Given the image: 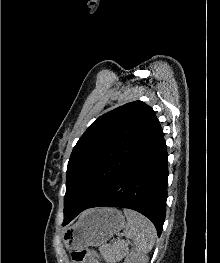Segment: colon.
<instances>
[{
	"label": "colon",
	"mask_w": 220,
	"mask_h": 263,
	"mask_svg": "<svg viewBox=\"0 0 220 263\" xmlns=\"http://www.w3.org/2000/svg\"><path fill=\"white\" fill-rule=\"evenodd\" d=\"M90 259L98 261V255L94 251L85 248L75 250L71 255V263H87Z\"/></svg>",
	"instance_id": "colon-1"
}]
</instances>
